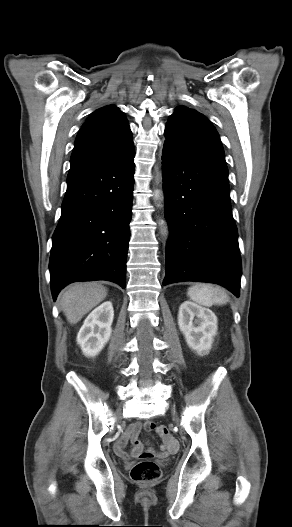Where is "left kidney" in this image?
Returning a JSON list of instances; mask_svg holds the SVG:
<instances>
[{
    "label": "left kidney",
    "instance_id": "5707ae66",
    "mask_svg": "<svg viewBox=\"0 0 292 527\" xmlns=\"http://www.w3.org/2000/svg\"><path fill=\"white\" fill-rule=\"evenodd\" d=\"M178 325L192 350L208 354L217 333V317L211 310L186 301L179 307Z\"/></svg>",
    "mask_w": 292,
    "mask_h": 527
}]
</instances>
